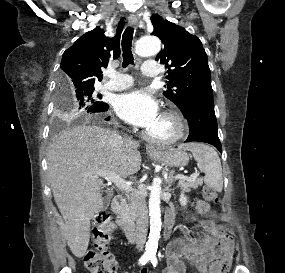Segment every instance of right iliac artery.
I'll list each match as a JSON object with an SVG mask.
<instances>
[{"instance_id":"right-iliac-artery-1","label":"right iliac artery","mask_w":285,"mask_h":273,"mask_svg":"<svg viewBox=\"0 0 285 273\" xmlns=\"http://www.w3.org/2000/svg\"><path fill=\"white\" fill-rule=\"evenodd\" d=\"M149 260H150V255L144 254V255L139 259V265H145Z\"/></svg>"}]
</instances>
